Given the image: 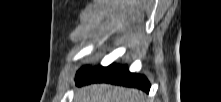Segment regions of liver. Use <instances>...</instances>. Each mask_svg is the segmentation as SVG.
Here are the masks:
<instances>
[{
  "label": "liver",
  "instance_id": "6515ba94",
  "mask_svg": "<svg viewBox=\"0 0 221 102\" xmlns=\"http://www.w3.org/2000/svg\"><path fill=\"white\" fill-rule=\"evenodd\" d=\"M74 100V102H145L143 94L109 84H92L79 88Z\"/></svg>",
  "mask_w": 221,
  "mask_h": 102
}]
</instances>
